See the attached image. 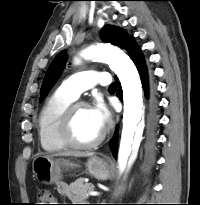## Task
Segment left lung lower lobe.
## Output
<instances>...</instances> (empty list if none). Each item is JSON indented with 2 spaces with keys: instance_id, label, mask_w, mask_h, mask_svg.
Segmentation results:
<instances>
[{
  "instance_id": "left-lung-lower-lobe-1",
  "label": "left lung lower lobe",
  "mask_w": 200,
  "mask_h": 205,
  "mask_svg": "<svg viewBox=\"0 0 200 205\" xmlns=\"http://www.w3.org/2000/svg\"><path fill=\"white\" fill-rule=\"evenodd\" d=\"M124 49L128 52L129 56L135 63L140 73L141 80L143 83V88L148 98L149 131H148L147 149H148L149 154L152 155V152L155 146V129H156L157 122H158V117H157L158 104H157L156 95H155V88L148 75V71L145 65L143 55L139 47L135 43L133 37L129 40V42L127 43ZM118 86H120L119 83H118ZM117 95L119 96L120 100H122V91L120 88L118 89ZM111 145H112L113 152L116 153L117 134L112 138Z\"/></svg>"
}]
</instances>
